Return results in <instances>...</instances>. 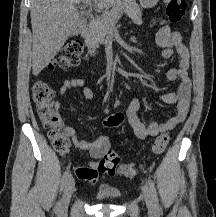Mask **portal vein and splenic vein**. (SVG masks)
Returning <instances> with one entry per match:
<instances>
[{
    "instance_id": "obj_1",
    "label": "portal vein and splenic vein",
    "mask_w": 216,
    "mask_h": 217,
    "mask_svg": "<svg viewBox=\"0 0 216 217\" xmlns=\"http://www.w3.org/2000/svg\"><path fill=\"white\" fill-rule=\"evenodd\" d=\"M84 6H88L91 5V1L90 0H86L83 2Z\"/></svg>"
}]
</instances>
